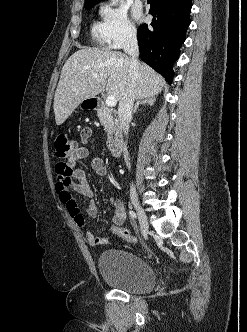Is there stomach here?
I'll return each instance as SVG.
<instances>
[{"label":"stomach","instance_id":"0dacf381","mask_svg":"<svg viewBox=\"0 0 247 332\" xmlns=\"http://www.w3.org/2000/svg\"><path fill=\"white\" fill-rule=\"evenodd\" d=\"M80 106L84 109L91 108L89 99L83 100L80 103Z\"/></svg>","mask_w":247,"mask_h":332}]
</instances>
